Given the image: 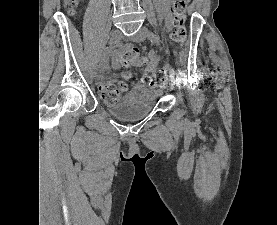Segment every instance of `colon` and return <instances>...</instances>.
Returning <instances> with one entry per match:
<instances>
[{"instance_id": "colon-1", "label": "colon", "mask_w": 277, "mask_h": 225, "mask_svg": "<svg viewBox=\"0 0 277 225\" xmlns=\"http://www.w3.org/2000/svg\"><path fill=\"white\" fill-rule=\"evenodd\" d=\"M190 0H173L171 11L173 13V32L172 39L181 44L186 38L185 27V10ZM79 0H65V6L69 12H73L78 5ZM145 59L141 57L140 53L136 49L128 50L121 54L118 59V63L123 67L134 66L139 63H145ZM129 74L125 73L124 78H129ZM164 81L162 72H154L146 74L143 78V83L147 87H154L161 85ZM127 90V84L124 81L105 85L99 88L98 94L102 101L105 103H113L118 101L121 95Z\"/></svg>"}]
</instances>
